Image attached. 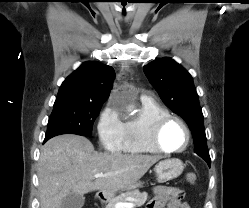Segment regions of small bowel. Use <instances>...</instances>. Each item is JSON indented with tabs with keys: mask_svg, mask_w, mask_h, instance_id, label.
<instances>
[{
	"mask_svg": "<svg viewBox=\"0 0 249 208\" xmlns=\"http://www.w3.org/2000/svg\"><path fill=\"white\" fill-rule=\"evenodd\" d=\"M184 192L181 189L167 186L154 188V197L146 208H190L183 202Z\"/></svg>",
	"mask_w": 249,
	"mask_h": 208,
	"instance_id": "c3829d8e",
	"label": "small bowel"
}]
</instances>
